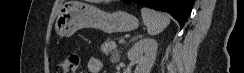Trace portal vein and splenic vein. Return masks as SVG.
<instances>
[{"mask_svg": "<svg viewBox=\"0 0 244 73\" xmlns=\"http://www.w3.org/2000/svg\"><path fill=\"white\" fill-rule=\"evenodd\" d=\"M124 42H125L124 39H120V40H119V43H124Z\"/></svg>", "mask_w": 244, "mask_h": 73, "instance_id": "18ae733b", "label": "portal vein and splenic vein"}]
</instances>
